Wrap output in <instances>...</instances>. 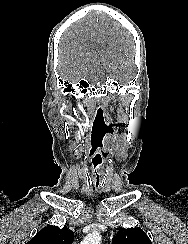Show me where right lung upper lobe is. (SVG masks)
<instances>
[{
    "label": "right lung upper lobe",
    "mask_w": 188,
    "mask_h": 244,
    "mask_svg": "<svg viewBox=\"0 0 188 244\" xmlns=\"http://www.w3.org/2000/svg\"><path fill=\"white\" fill-rule=\"evenodd\" d=\"M73 238V231L66 226L62 229L57 226H47L26 244H72Z\"/></svg>",
    "instance_id": "1"
}]
</instances>
